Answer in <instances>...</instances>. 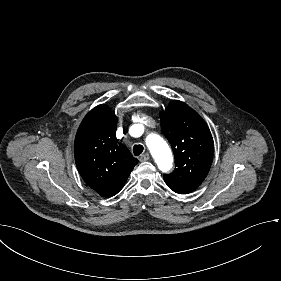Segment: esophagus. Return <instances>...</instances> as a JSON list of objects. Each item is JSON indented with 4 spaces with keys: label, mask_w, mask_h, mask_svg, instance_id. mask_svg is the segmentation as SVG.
<instances>
[{
    "label": "esophagus",
    "mask_w": 281,
    "mask_h": 281,
    "mask_svg": "<svg viewBox=\"0 0 281 281\" xmlns=\"http://www.w3.org/2000/svg\"><path fill=\"white\" fill-rule=\"evenodd\" d=\"M149 158H150L149 154L145 153V154L140 156L139 160L140 161H147V160H149Z\"/></svg>",
    "instance_id": "1"
}]
</instances>
